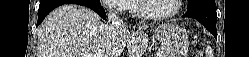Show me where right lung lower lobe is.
<instances>
[{"label": "right lung lower lobe", "mask_w": 249, "mask_h": 57, "mask_svg": "<svg viewBox=\"0 0 249 57\" xmlns=\"http://www.w3.org/2000/svg\"><path fill=\"white\" fill-rule=\"evenodd\" d=\"M79 4L82 6H86L92 10H94L97 14H99L103 19L106 20V13L101 4H94L92 2H87L86 0H41L38 10V23L37 26L43 21V19L56 7L63 4Z\"/></svg>", "instance_id": "right-lung-lower-lobe-1"}]
</instances>
